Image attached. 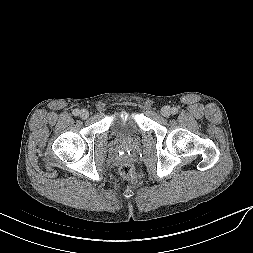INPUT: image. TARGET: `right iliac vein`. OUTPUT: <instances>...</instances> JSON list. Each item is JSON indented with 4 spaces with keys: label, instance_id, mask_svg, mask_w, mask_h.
Returning a JSON list of instances; mask_svg holds the SVG:
<instances>
[{
    "label": "right iliac vein",
    "instance_id": "right-iliac-vein-1",
    "mask_svg": "<svg viewBox=\"0 0 253 253\" xmlns=\"http://www.w3.org/2000/svg\"><path fill=\"white\" fill-rule=\"evenodd\" d=\"M79 115L82 119H87L88 116H89V112L86 110V109H82L80 112H79Z\"/></svg>",
    "mask_w": 253,
    "mask_h": 253
}]
</instances>
